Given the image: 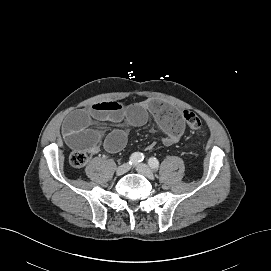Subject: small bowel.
Masks as SVG:
<instances>
[{
  "mask_svg": "<svg viewBox=\"0 0 271 271\" xmlns=\"http://www.w3.org/2000/svg\"><path fill=\"white\" fill-rule=\"evenodd\" d=\"M148 114L153 115L165 132L163 142L166 146L175 144L184 131L183 117L180 113L159 101H149L137 106L123 108L117 102H100L88 109L72 113L63 123V132L67 143L77 149L96 152L100 145L111 153L121 150L127 142V132L116 129L108 134L91 128L94 121L127 122L141 126L146 123Z\"/></svg>",
  "mask_w": 271,
  "mask_h": 271,
  "instance_id": "1",
  "label": "small bowel"
}]
</instances>
